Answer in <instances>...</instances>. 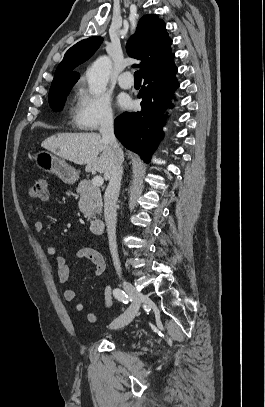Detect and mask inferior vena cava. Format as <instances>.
Instances as JSON below:
<instances>
[{"label":"inferior vena cava","mask_w":265,"mask_h":407,"mask_svg":"<svg viewBox=\"0 0 265 407\" xmlns=\"http://www.w3.org/2000/svg\"><path fill=\"white\" fill-rule=\"evenodd\" d=\"M100 133L104 142L110 145L115 154V165L109 178V183L104 195V216L107 225L109 248L113 263L118 274L121 273L120 261L116 242V203L119 196L123 174V152L114 135V120L112 114H106L100 124Z\"/></svg>","instance_id":"1"}]
</instances>
